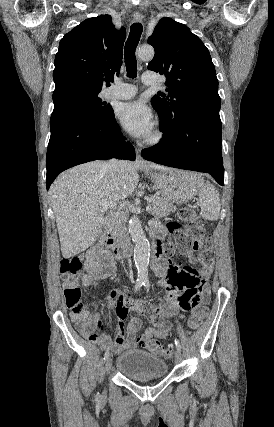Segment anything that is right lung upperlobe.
Segmentation results:
<instances>
[{
	"instance_id": "right-lung-upper-lobe-1",
	"label": "right lung upper lobe",
	"mask_w": 274,
	"mask_h": 427,
	"mask_svg": "<svg viewBox=\"0 0 274 427\" xmlns=\"http://www.w3.org/2000/svg\"><path fill=\"white\" fill-rule=\"evenodd\" d=\"M125 28L117 30L110 15L88 18L60 41L55 56L54 104L67 95L95 94L120 73Z\"/></svg>"
}]
</instances>
